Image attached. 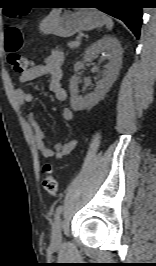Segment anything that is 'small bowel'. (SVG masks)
<instances>
[{
	"label": "small bowel",
	"instance_id": "c3829d8e",
	"mask_svg": "<svg viewBox=\"0 0 156 266\" xmlns=\"http://www.w3.org/2000/svg\"><path fill=\"white\" fill-rule=\"evenodd\" d=\"M64 55L60 50H53L48 57L45 58L42 64L33 66L20 75V82L26 83L35 80L43 75H48L50 78L49 88L59 101H65L67 97L66 90L62 85V64ZM16 99L20 105H25L33 101V95L30 91L23 88H18L15 92ZM62 118L65 121L73 119L72 110L63 105L61 109ZM30 124L34 132V141L37 151L46 158H62L73 152L77 142L69 141L65 144H57L53 147L46 142V136L40 124L35 118L34 113H30Z\"/></svg>",
	"mask_w": 156,
	"mask_h": 266
}]
</instances>
